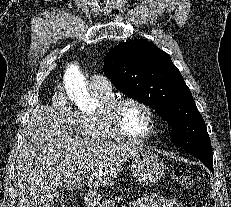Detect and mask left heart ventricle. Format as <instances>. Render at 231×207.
Returning a JSON list of instances; mask_svg holds the SVG:
<instances>
[{
  "label": "left heart ventricle",
  "instance_id": "left-heart-ventricle-1",
  "mask_svg": "<svg viewBox=\"0 0 231 207\" xmlns=\"http://www.w3.org/2000/svg\"><path fill=\"white\" fill-rule=\"evenodd\" d=\"M121 124L129 135L141 137L150 129V119L147 112L137 104H125L120 111Z\"/></svg>",
  "mask_w": 231,
  "mask_h": 207
}]
</instances>
